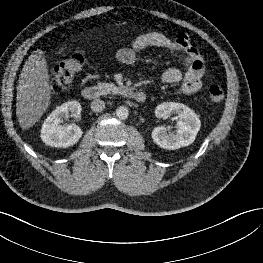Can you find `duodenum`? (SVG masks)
Here are the masks:
<instances>
[{
  "label": "duodenum",
  "instance_id": "duodenum-1",
  "mask_svg": "<svg viewBox=\"0 0 263 263\" xmlns=\"http://www.w3.org/2000/svg\"><path fill=\"white\" fill-rule=\"evenodd\" d=\"M128 95L137 102H144L146 99V95L142 91L129 90ZM82 96L86 100H95L99 97V90L95 86H86L82 90Z\"/></svg>",
  "mask_w": 263,
  "mask_h": 263
}]
</instances>
